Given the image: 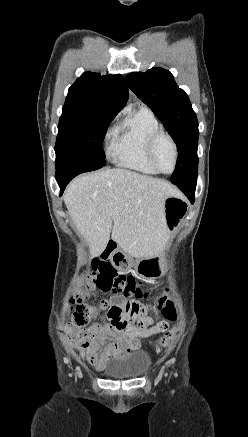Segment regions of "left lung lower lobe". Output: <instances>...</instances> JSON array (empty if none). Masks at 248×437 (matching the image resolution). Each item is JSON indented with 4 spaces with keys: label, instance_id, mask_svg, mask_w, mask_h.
Masks as SVG:
<instances>
[{
    "label": "left lung lower lobe",
    "instance_id": "obj_1",
    "mask_svg": "<svg viewBox=\"0 0 248 437\" xmlns=\"http://www.w3.org/2000/svg\"><path fill=\"white\" fill-rule=\"evenodd\" d=\"M178 187L188 197L190 202L193 204L194 200H195L194 193H195L196 184L186 185V186H178Z\"/></svg>",
    "mask_w": 248,
    "mask_h": 437
}]
</instances>
